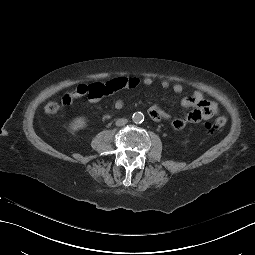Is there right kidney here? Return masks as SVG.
Returning <instances> with one entry per match:
<instances>
[{
    "mask_svg": "<svg viewBox=\"0 0 255 255\" xmlns=\"http://www.w3.org/2000/svg\"><path fill=\"white\" fill-rule=\"evenodd\" d=\"M86 126V120L84 118H77L69 126L71 132H77Z\"/></svg>",
    "mask_w": 255,
    "mask_h": 255,
    "instance_id": "1",
    "label": "right kidney"
}]
</instances>
